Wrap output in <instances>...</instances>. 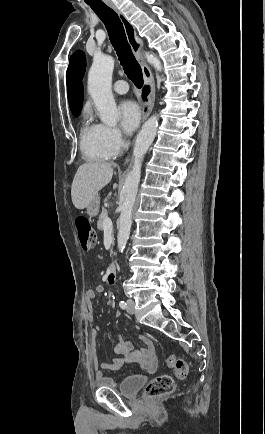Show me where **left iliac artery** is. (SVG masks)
<instances>
[{"label":"left iliac artery","mask_w":265,"mask_h":434,"mask_svg":"<svg viewBox=\"0 0 265 434\" xmlns=\"http://www.w3.org/2000/svg\"><path fill=\"white\" fill-rule=\"evenodd\" d=\"M119 305H120V307H121L122 309H125L126 306H127V304L125 303V301H122V300L119 302Z\"/></svg>","instance_id":"left-iliac-artery-1"}]
</instances>
